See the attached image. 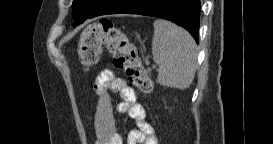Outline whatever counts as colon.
<instances>
[{
	"mask_svg": "<svg viewBox=\"0 0 273 144\" xmlns=\"http://www.w3.org/2000/svg\"><path fill=\"white\" fill-rule=\"evenodd\" d=\"M104 45L112 54L114 66L124 71L130 83L142 94L148 95L152 91L148 71L134 45L110 19H99L82 31L78 47L82 67L85 70L94 67Z\"/></svg>",
	"mask_w": 273,
	"mask_h": 144,
	"instance_id": "1",
	"label": "colon"
}]
</instances>
